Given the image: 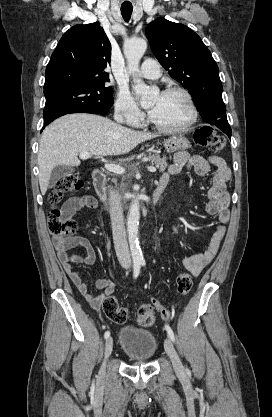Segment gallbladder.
Masks as SVG:
<instances>
[{
  "label": "gallbladder",
  "mask_w": 272,
  "mask_h": 417,
  "mask_svg": "<svg viewBox=\"0 0 272 417\" xmlns=\"http://www.w3.org/2000/svg\"><path fill=\"white\" fill-rule=\"evenodd\" d=\"M73 172L74 168L72 166L58 165L54 167L49 180V188H53L58 180L65 176L71 175Z\"/></svg>",
  "instance_id": "gallbladder-1"
}]
</instances>
